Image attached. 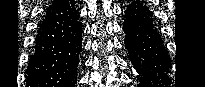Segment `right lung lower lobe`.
<instances>
[{"label": "right lung lower lobe", "instance_id": "obj_1", "mask_svg": "<svg viewBox=\"0 0 205 87\" xmlns=\"http://www.w3.org/2000/svg\"><path fill=\"white\" fill-rule=\"evenodd\" d=\"M79 17L72 0H58L47 8L26 70L27 86H75L82 50Z\"/></svg>", "mask_w": 205, "mask_h": 87}]
</instances>
